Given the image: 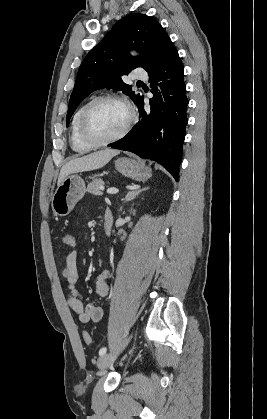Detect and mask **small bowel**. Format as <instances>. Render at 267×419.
Returning <instances> with one entry per match:
<instances>
[{"label": "small bowel", "instance_id": "1", "mask_svg": "<svg viewBox=\"0 0 267 419\" xmlns=\"http://www.w3.org/2000/svg\"><path fill=\"white\" fill-rule=\"evenodd\" d=\"M106 216H111L109 213ZM62 275L67 282L69 294L67 296L68 306L79 315V321L83 324L89 322H99L102 320L104 311L101 307L90 303L85 305L83 303L77 285L80 279L78 268V251L76 245L69 248L63 259ZM111 278V272L108 269L102 270L96 279L95 290L98 296L106 297L109 292L108 281Z\"/></svg>", "mask_w": 267, "mask_h": 419}]
</instances>
